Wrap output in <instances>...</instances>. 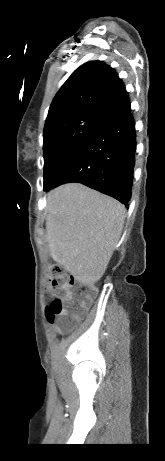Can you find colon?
I'll use <instances>...</instances> for the list:
<instances>
[{
	"label": "colon",
	"mask_w": 165,
	"mask_h": 461,
	"mask_svg": "<svg viewBox=\"0 0 165 461\" xmlns=\"http://www.w3.org/2000/svg\"><path fill=\"white\" fill-rule=\"evenodd\" d=\"M47 287L53 295L46 309L47 318L56 323L58 332L67 333L78 324L95 297L96 288L77 282L59 264L49 267Z\"/></svg>",
	"instance_id": "5ec220e1"
}]
</instances>
